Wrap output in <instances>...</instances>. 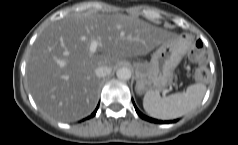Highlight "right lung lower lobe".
Listing matches in <instances>:
<instances>
[{
	"label": "right lung lower lobe",
	"mask_w": 238,
	"mask_h": 145,
	"mask_svg": "<svg viewBox=\"0 0 238 145\" xmlns=\"http://www.w3.org/2000/svg\"><path fill=\"white\" fill-rule=\"evenodd\" d=\"M97 109H98V107H97L96 110L92 113L91 117L95 116ZM88 118H90V117H88Z\"/></svg>",
	"instance_id": "98d812e1"
}]
</instances>
